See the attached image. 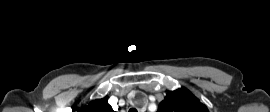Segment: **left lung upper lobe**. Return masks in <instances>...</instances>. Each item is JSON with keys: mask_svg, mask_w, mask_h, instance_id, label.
I'll return each instance as SVG.
<instances>
[{"mask_svg": "<svg viewBox=\"0 0 270 112\" xmlns=\"http://www.w3.org/2000/svg\"><path fill=\"white\" fill-rule=\"evenodd\" d=\"M158 112H209L191 92L181 88L170 91L159 104Z\"/></svg>", "mask_w": 270, "mask_h": 112, "instance_id": "1", "label": "left lung upper lobe"}]
</instances>
